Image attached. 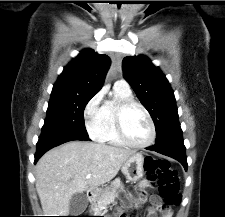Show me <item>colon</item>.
I'll use <instances>...</instances> for the list:
<instances>
[{"instance_id": "5ec220e1", "label": "colon", "mask_w": 225, "mask_h": 217, "mask_svg": "<svg viewBox=\"0 0 225 217\" xmlns=\"http://www.w3.org/2000/svg\"><path fill=\"white\" fill-rule=\"evenodd\" d=\"M144 170L147 179L158 185L159 193L164 199V207L170 208L180 204L179 178L168 161L148 156L144 160Z\"/></svg>"}]
</instances>
